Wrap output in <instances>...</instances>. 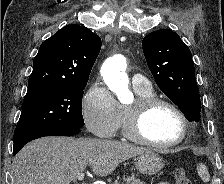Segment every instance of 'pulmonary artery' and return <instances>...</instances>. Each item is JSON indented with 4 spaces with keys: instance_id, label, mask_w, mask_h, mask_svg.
Wrapping results in <instances>:
<instances>
[{
    "instance_id": "1",
    "label": "pulmonary artery",
    "mask_w": 224,
    "mask_h": 184,
    "mask_svg": "<svg viewBox=\"0 0 224 184\" xmlns=\"http://www.w3.org/2000/svg\"><path fill=\"white\" fill-rule=\"evenodd\" d=\"M132 84L137 89H151L149 80L141 74H134L132 76Z\"/></svg>"
}]
</instances>
